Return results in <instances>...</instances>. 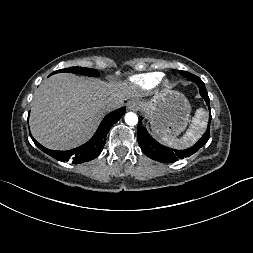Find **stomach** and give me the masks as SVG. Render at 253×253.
<instances>
[{
    "label": "stomach",
    "instance_id": "stomach-1",
    "mask_svg": "<svg viewBox=\"0 0 253 253\" xmlns=\"http://www.w3.org/2000/svg\"><path fill=\"white\" fill-rule=\"evenodd\" d=\"M138 104L148 115L153 133L160 137L175 138L189 122L190 104L178 91L168 90Z\"/></svg>",
    "mask_w": 253,
    "mask_h": 253
}]
</instances>
